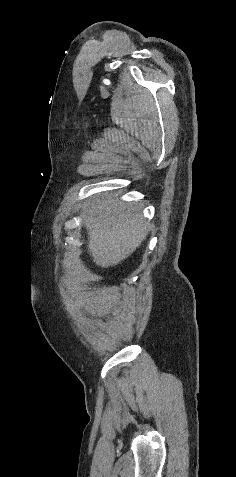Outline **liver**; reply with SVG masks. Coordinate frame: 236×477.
Instances as JSON below:
<instances>
[{
  "label": "liver",
  "instance_id": "obj_1",
  "mask_svg": "<svg viewBox=\"0 0 236 477\" xmlns=\"http://www.w3.org/2000/svg\"><path fill=\"white\" fill-rule=\"evenodd\" d=\"M88 232V252L103 268L115 266L130 256L145 240L148 224L141 205L119 202L111 194L96 195L83 209Z\"/></svg>",
  "mask_w": 236,
  "mask_h": 477
}]
</instances>
